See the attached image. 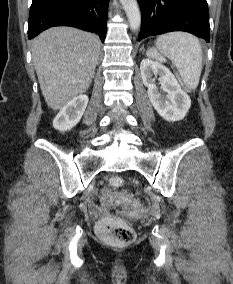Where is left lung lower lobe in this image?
Here are the masks:
<instances>
[{
	"label": "left lung lower lobe",
	"instance_id": "obj_1",
	"mask_svg": "<svg viewBox=\"0 0 233 284\" xmlns=\"http://www.w3.org/2000/svg\"><path fill=\"white\" fill-rule=\"evenodd\" d=\"M142 24L138 41L170 31H186L210 40L206 0H138Z\"/></svg>",
	"mask_w": 233,
	"mask_h": 284
}]
</instances>
